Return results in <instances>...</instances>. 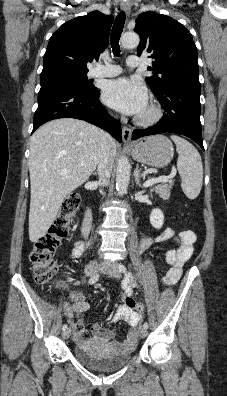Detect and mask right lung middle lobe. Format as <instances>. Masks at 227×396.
Listing matches in <instances>:
<instances>
[{"mask_svg":"<svg viewBox=\"0 0 227 396\" xmlns=\"http://www.w3.org/2000/svg\"><path fill=\"white\" fill-rule=\"evenodd\" d=\"M88 70L52 68L43 70L40 76L41 88L52 85H67L81 91L91 92L97 88L87 79Z\"/></svg>","mask_w":227,"mask_h":396,"instance_id":"obj_1","label":"right lung middle lobe"}]
</instances>
